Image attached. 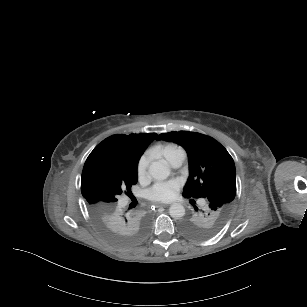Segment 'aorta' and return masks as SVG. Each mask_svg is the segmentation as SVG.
Here are the masks:
<instances>
[{
  "instance_id": "1",
  "label": "aorta",
  "mask_w": 307,
  "mask_h": 307,
  "mask_svg": "<svg viewBox=\"0 0 307 307\" xmlns=\"http://www.w3.org/2000/svg\"><path fill=\"white\" fill-rule=\"evenodd\" d=\"M148 173L153 179L161 181L169 177L171 168L167 160L160 159L150 163ZM169 214L174 219H181L185 215V208L180 203H173Z\"/></svg>"
}]
</instances>
